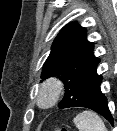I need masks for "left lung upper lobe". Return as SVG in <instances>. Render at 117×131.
<instances>
[{
  "mask_svg": "<svg viewBox=\"0 0 117 131\" xmlns=\"http://www.w3.org/2000/svg\"><path fill=\"white\" fill-rule=\"evenodd\" d=\"M94 45L86 39V29L74 23L65 26L53 42L43 66L42 79L59 76L65 84V96L59 108H66L69 89L83 87L95 72L100 59L93 54Z\"/></svg>",
  "mask_w": 117,
  "mask_h": 131,
  "instance_id": "obj_1",
  "label": "left lung upper lobe"
}]
</instances>
